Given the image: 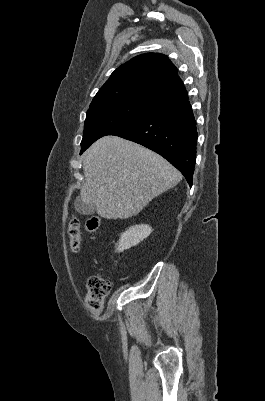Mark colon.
Wrapping results in <instances>:
<instances>
[{
  "mask_svg": "<svg viewBox=\"0 0 265 401\" xmlns=\"http://www.w3.org/2000/svg\"><path fill=\"white\" fill-rule=\"evenodd\" d=\"M100 219L98 216H90L86 220V229L90 232L98 230ZM67 232L70 239V248L73 253H78L80 250V221L77 217H72L68 223ZM112 288L111 282L101 276H91L87 282L86 305L89 311L98 315L103 307L106 297L109 295Z\"/></svg>",
  "mask_w": 265,
  "mask_h": 401,
  "instance_id": "colon-1",
  "label": "colon"
}]
</instances>
